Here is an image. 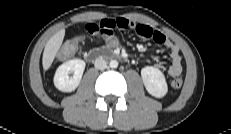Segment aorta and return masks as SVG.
<instances>
[{
	"instance_id": "obj_1",
	"label": "aorta",
	"mask_w": 231,
	"mask_h": 134,
	"mask_svg": "<svg viewBox=\"0 0 231 134\" xmlns=\"http://www.w3.org/2000/svg\"><path fill=\"white\" fill-rule=\"evenodd\" d=\"M110 68H117L118 62L116 60H111L109 63Z\"/></svg>"
}]
</instances>
